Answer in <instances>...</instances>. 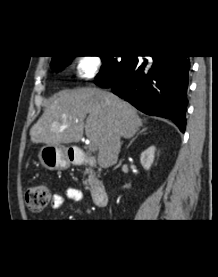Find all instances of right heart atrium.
Returning <instances> with one entry per match:
<instances>
[{
    "label": "right heart atrium",
    "instance_id": "d8ad5b80",
    "mask_svg": "<svg viewBox=\"0 0 218 277\" xmlns=\"http://www.w3.org/2000/svg\"><path fill=\"white\" fill-rule=\"evenodd\" d=\"M100 61L94 56L78 57L74 65V73L79 80H90L99 69Z\"/></svg>",
    "mask_w": 218,
    "mask_h": 277
}]
</instances>
